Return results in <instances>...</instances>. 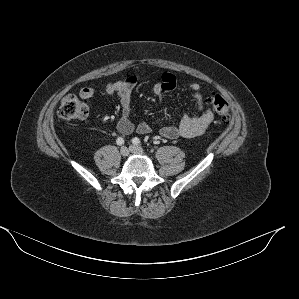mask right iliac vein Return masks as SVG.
<instances>
[{"label": "right iliac vein", "instance_id": "63e3f726", "mask_svg": "<svg viewBox=\"0 0 299 299\" xmlns=\"http://www.w3.org/2000/svg\"><path fill=\"white\" fill-rule=\"evenodd\" d=\"M129 149L127 147H122L120 149V154L123 156V157H127L129 155Z\"/></svg>", "mask_w": 299, "mask_h": 299}]
</instances>
